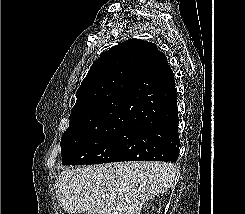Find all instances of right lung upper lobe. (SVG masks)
<instances>
[{
	"instance_id": "right-lung-upper-lobe-1",
	"label": "right lung upper lobe",
	"mask_w": 245,
	"mask_h": 214,
	"mask_svg": "<svg viewBox=\"0 0 245 214\" xmlns=\"http://www.w3.org/2000/svg\"><path fill=\"white\" fill-rule=\"evenodd\" d=\"M166 56L141 39L126 40L103 52L77 91L67 130H95L131 124L141 112L138 99L166 84Z\"/></svg>"
}]
</instances>
